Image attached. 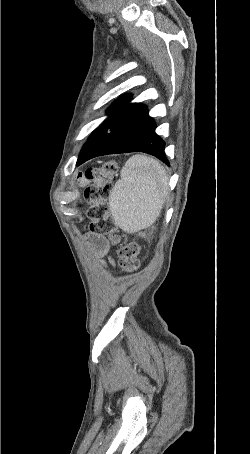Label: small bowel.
Segmentation results:
<instances>
[{
  "mask_svg": "<svg viewBox=\"0 0 250 454\" xmlns=\"http://www.w3.org/2000/svg\"><path fill=\"white\" fill-rule=\"evenodd\" d=\"M82 182L86 183V180L82 179ZM87 239L91 246L93 247L96 254L103 256L108 252L109 242L103 235L91 233L87 236ZM109 262L113 264L112 260H109Z\"/></svg>",
  "mask_w": 250,
  "mask_h": 454,
  "instance_id": "small-bowel-1",
  "label": "small bowel"
}]
</instances>
